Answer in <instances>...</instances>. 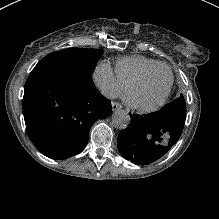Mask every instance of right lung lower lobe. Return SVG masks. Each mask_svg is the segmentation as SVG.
<instances>
[{
	"label": "right lung lower lobe",
	"mask_w": 219,
	"mask_h": 219,
	"mask_svg": "<svg viewBox=\"0 0 219 219\" xmlns=\"http://www.w3.org/2000/svg\"><path fill=\"white\" fill-rule=\"evenodd\" d=\"M23 111L36 148L50 158L65 159L83 150L93 123L112 108L96 90L92 73L72 61L54 60L30 73Z\"/></svg>",
	"instance_id": "98d812e1"
}]
</instances>
